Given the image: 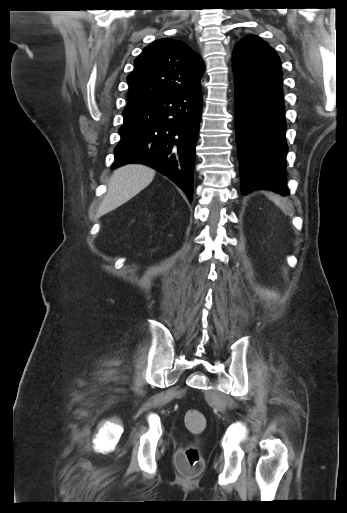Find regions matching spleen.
Masks as SVG:
<instances>
[{"instance_id": "3e777b00", "label": "spleen", "mask_w": 347, "mask_h": 513, "mask_svg": "<svg viewBox=\"0 0 347 513\" xmlns=\"http://www.w3.org/2000/svg\"><path fill=\"white\" fill-rule=\"evenodd\" d=\"M271 199H272V200H273V201H274L278 206H280V208H281L282 210H285V206L281 203V201H280L278 198H276V197H274V196H271Z\"/></svg>"}]
</instances>
